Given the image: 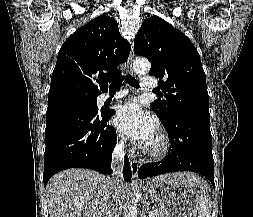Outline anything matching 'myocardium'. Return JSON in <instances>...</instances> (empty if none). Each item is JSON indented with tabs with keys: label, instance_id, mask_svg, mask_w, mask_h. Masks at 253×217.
I'll use <instances>...</instances> for the list:
<instances>
[{
	"label": "myocardium",
	"instance_id": "1",
	"mask_svg": "<svg viewBox=\"0 0 253 217\" xmlns=\"http://www.w3.org/2000/svg\"><path fill=\"white\" fill-rule=\"evenodd\" d=\"M170 143L167 133L160 129L156 133V142L153 145L146 144L144 151L151 158L159 159L165 156L169 151Z\"/></svg>",
	"mask_w": 253,
	"mask_h": 217
}]
</instances>
